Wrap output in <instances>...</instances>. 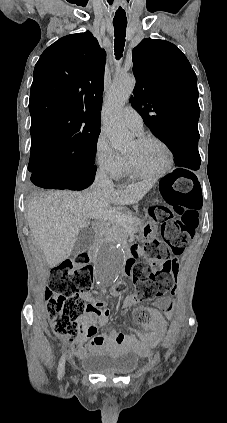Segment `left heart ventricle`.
<instances>
[{"instance_id":"b2bd125f","label":"left heart ventricle","mask_w":227,"mask_h":423,"mask_svg":"<svg viewBox=\"0 0 227 423\" xmlns=\"http://www.w3.org/2000/svg\"><path fill=\"white\" fill-rule=\"evenodd\" d=\"M126 154L133 158L140 171L149 174L158 173L167 162L166 151L156 142L138 144L134 141Z\"/></svg>"}]
</instances>
